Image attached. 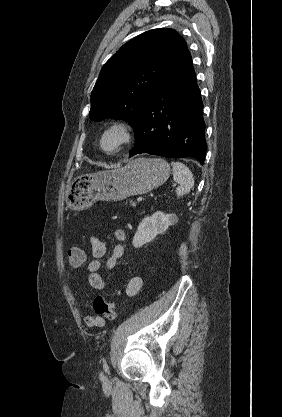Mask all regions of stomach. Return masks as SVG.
I'll return each mask as SVG.
<instances>
[{
    "label": "stomach",
    "mask_w": 282,
    "mask_h": 417,
    "mask_svg": "<svg viewBox=\"0 0 282 417\" xmlns=\"http://www.w3.org/2000/svg\"><path fill=\"white\" fill-rule=\"evenodd\" d=\"M170 166L164 158L139 156L126 166L83 174L72 182L67 192L71 211H85L96 200H123L133 194H144L169 178Z\"/></svg>",
    "instance_id": "1"
}]
</instances>
